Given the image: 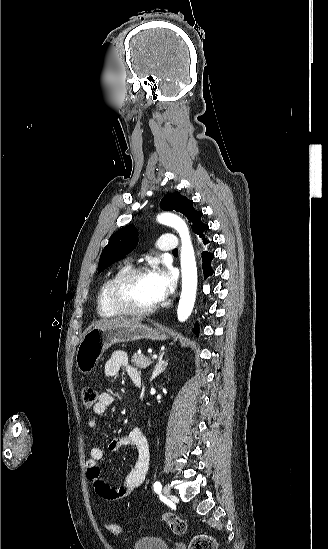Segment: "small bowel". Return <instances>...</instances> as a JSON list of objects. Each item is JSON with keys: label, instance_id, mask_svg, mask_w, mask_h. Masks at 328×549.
Masks as SVG:
<instances>
[{"label": "small bowel", "instance_id": "obj_1", "mask_svg": "<svg viewBox=\"0 0 328 549\" xmlns=\"http://www.w3.org/2000/svg\"><path fill=\"white\" fill-rule=\"evenodd\" d=\"M121 369H125L128 376L134 381L139 373L136 368L129 364L128 355L124 351H115L111 354L104 365V373L108 377L116 376ZM114 402V397L109 392H102L93 407L96 415L104 414ZM88 428L97 431L99 424L97 420L91 419L88 422ZM122 447H131L136 450L137 458L132 469L126 474L122 484L114 487L107 484L101 477V471L98 462L103 457V451L99 447H93L90 451V457L87 460V475L92 483L95 492L103 499L116 501L128 497L144 481L149 469L150 449L146 436L139 427H133L125 437L113 439L109 445L110 452H116Z\"/></svg>", "mask_w": 328, "mask_h": 549}]
</instances>
